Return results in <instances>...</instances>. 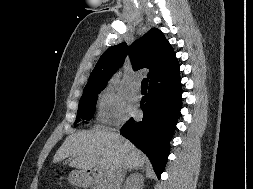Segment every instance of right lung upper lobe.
I'll list each match as a JSON object with an SVG mask.
<instances>
[{
  "label": "right lung upper lobe",
  "instance_id": "right-lung-upper-lobe-1",
  "mask_svg": "<svg viewBox=\"0 0 253 189\" xmlns=\"http://www.w3.org/2000/svg\"><path fill=\"white\" fill-rule=\"evenodd\" d=\"M129 52L134 70L148 68L149 84L179 72V64L171 45L162 32L152 28L130 48L123 42L108 48L90 74L84 91L105 88L112 73L122 66Z\"/></svg>",
  "mask_w": 253,
  "mask_h": 189
}]
</instances>
